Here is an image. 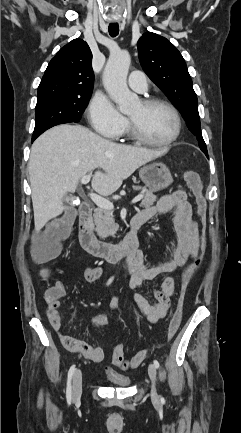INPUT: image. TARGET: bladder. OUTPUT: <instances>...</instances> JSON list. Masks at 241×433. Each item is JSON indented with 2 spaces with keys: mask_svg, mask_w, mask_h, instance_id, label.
Instances as JSON below:
<instances>
[{
  "mask_svg": "<svg viewBox=\"0 0 241 433\" xmlns=\"http://www.w3.org/2000/svg\"><path fill=\"white\" fill-rule=\"evenodd\" d=\"M107 380L113 387L127 388L131 385V379L129 376L119 374L115 371L107 374Z\"/></svg>",
  "mask_w": 241,
  "mask_h": 433,
  "instance_id": "31cf9c89",
  "label": "bladder"
}]
</instances>
